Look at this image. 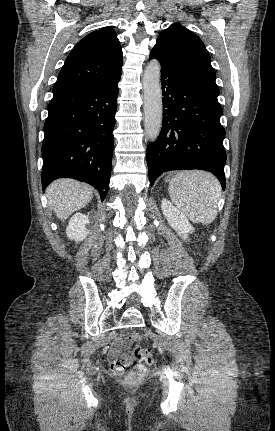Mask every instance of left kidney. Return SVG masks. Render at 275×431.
<instances>
[{
	"label": "left kidney",
	"mask_w": 275,
	"mask_h": 431,
	"mask_svg": "<svg viewBox=\"0 0 275 431\" xmlns=\"http://www.w3.org/2000/svg\"><path fill=\"white\" fill-rule=\"evenodd\" d=\"M161 209L163 215L168 221V224L175 229L178 232V235H180L184 240L187 239L188 234L192 233L194 228L186 216L167 199L162 200Z\"/></svg>",
	"instance_id": "left-kidney-1"
}]
</instances>
